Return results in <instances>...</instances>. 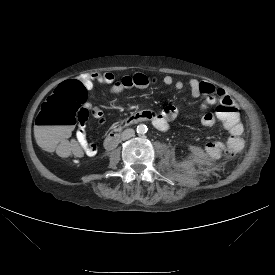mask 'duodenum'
Masks as SVG:
<instances>
[{"mask_svg": "<svg viewBox=\"0 0 275 275\" xmlns=\"http://www.w3.org/2000/svg\"><path fill=\"white\" fill-rule=\"evenodd\" d=\"M142 121H147V119L145 117V112L136 113L133 116L126 118L125 120L120 122L118 125H116L113 128V130L106 137V139L104 141V147L106 149L115 148L119 143L121 130L123 128H126V127L132 125V124L142 122Z\"/></svg>", "mask_w": 275, "mask_h": 275, "instance_id": "410a0bca", "label": "duodenum"}]
</instances>
